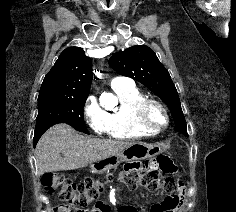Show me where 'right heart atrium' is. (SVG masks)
Here are the masks:
<instances>
[{"label": "right heart atrium", "mask_w": 236, "mask_h": 212, "mask_svg": "<svg viewBox=\"0 0 236 212\" xmlns=\"http://www.w3.org/2000/svg\"><path fill=\"white\" fill-rule=\"evenodd\" d=\"M84 117L88 125L97 134L105 133L106 116L95 97L90 96L84 105Z\"/></svg>", "instance_id": "d8ad5b80"}]
</instances>
